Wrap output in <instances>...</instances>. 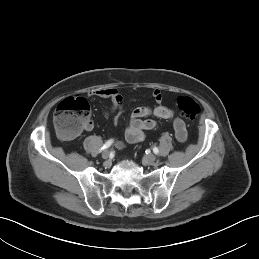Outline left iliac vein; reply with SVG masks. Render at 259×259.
<instances>
[{
	"instance_id": "left-iliac-vein-1",
	"label": "left iliac vein",
	"mask_w": 259,
	"mask_h": 259,
	"mask_svg": "<svg viewBox=\"0 0 259 259\" xmlns=\"http://www.w3.org/2000/svg\"><path fill=\"white\" fill-rule=\"evenodd\" d=\"M145 160L149 163H152L156 160V156L154 154H148L145 156Z\"/></svg>"
}]
</instances>
